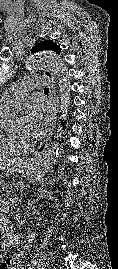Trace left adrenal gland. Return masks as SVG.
Here are the masks:
<instances>
[{"mask_svg":"<svg viewBox=\"0 0 118 269\" xmlns=\"http://www.w3.org/2000/svg\"><path fill=\"white\" fill-rule=\"evenodd\" d=\"M21 189L22 191L25 189V186L23 184H21Z\"/></svg>","mask_w":118,"mask_h":269,"instance_id":"obj_1","label":"left adrenal gland"}]
</instances>
